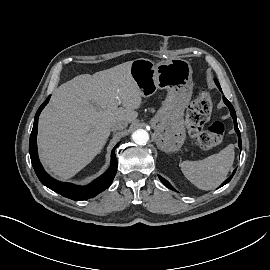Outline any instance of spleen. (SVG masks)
Wrapping results in <instances>:
<instances>
[{"label":"spleen","mask_w":270,"mask_h":270,"mask_svg":"<svg viewBox=\"0 0 270 270\" xmlns=\"http://www.w3.org/2000/svg\"><path fill=\"white\" fill-rule=\"evenodd\" d=\"M234 157V146L229 144L219 153L203 160L183 161L180 167L185 177L196 187L201 190H211L226 179Z\"/></svg>","instance_id":"spleen-1"}]
</instances>
